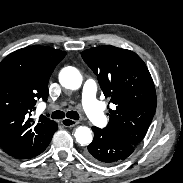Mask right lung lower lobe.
<instances>
[{"label":"right lung lower lobe","mask_w":183,"mask_h":183,"mask_svg":"<svg viewBox=\"0 0 183 183\" xmlns=\"http://www.w3.org/2000/svg\"><path fill=\"white\" fill-rule=\"evenodd\" d=\"M57 130V124L55 125V127L53 128V132L51 133V135H50V137L48 138V140L44 143V145L42 146V148L40 149V152H39V154L40 153H42L46 148H47V146L49 145V143H50V141H51V139H52V136H53V134H54V132ZM38 154V155H39ZM37 156V155H36Z\"/></svg>","instance_id":"obj_1"}]
</instances>
